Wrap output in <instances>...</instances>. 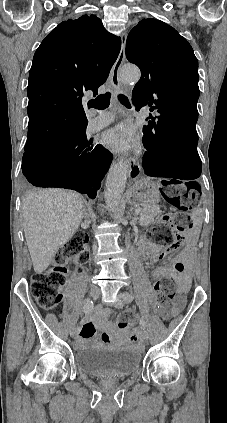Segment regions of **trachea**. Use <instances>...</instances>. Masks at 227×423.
<instances>
[{"label":"trachea","instance_id":"3493384b","mask_svg":"<svg viewBox=\"0 0 227 423\" xmlns=\"http://www.w3.org/2000/svg\"><path fill=\"white\" fill-rule=\"evenodd\" d=\"M110 98H111V93L107 91L105 94L99 95L97 98H95V100H90L88 102V106L92 108H96L97 110H105V108H108L110 105ZM118 100L125 107L131 108L130 102L124 94H119Z\"/></svg>","mask_w":227,"mask_h":423}]
</instances>
